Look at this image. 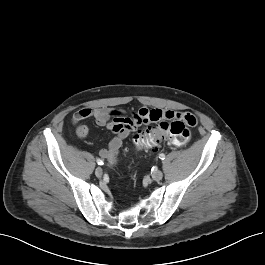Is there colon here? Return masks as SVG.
I'll return each instance as SVG.
<instances>
[{
  "instance_id": "5ec220e1",
  "label": "colon",
  "mask_w": 265,
  "mask_h": 265,
  "mask_svg": "<svg viewBox=\"0 0 265 265\" xmlns=\"http://www.w3.org/2000/svg\"><path fill=\"white\" fill-rule=\"evenodd\" d=\"M148 121L153 126L137 132L133 137L138 148L154 150L163 141L177 146L186 145L192 137L191 127L197 124V120L193 116L189 117L187 121L171 119L159 110L149 111Z\"/></svg>"
}]
</instances>
